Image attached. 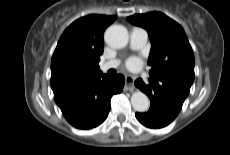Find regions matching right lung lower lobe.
Segmentation results:
<instances>
[{
	"instance_id": "right-lung-lower-lobe-1",
	"label": "right lung lower lobe",
	"mask_w": 230,
	"mask_h": 155,
	"mask_svg": "<svg viewBox=\"0 0 230 155\" xmlns=\"http://www.w3.org/2000/svg\"><path fill=\"white\" fill-rule=\"evenodd\" d=\"M124 83L125 77L121 74L108 77L99 73L53 89L54 99L70 124L79 129H91L107 118L111 97L122 91Z\"/></svg>"
}]
</instances>
